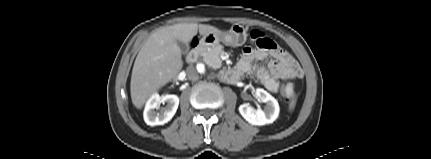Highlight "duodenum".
<instances>
[{"instance_id":"duodenum-1","label":"duodenum","mask_w":431,"mask_h":159,"mask_svg":"<svg viewBox=\"0 0 431 159\" xmlns=\"http://www.w3.org/2000/svg\"><path fill=\"white\" fill-rule=\"evenodd\" d=\"M207 40H195L192 42V47L190 52L187 55V62L193 63L197 60L201 50L207 44ZM239 75V72L236 69H230L226 72V76L235 78Z\"/></svg>"}]
</instances>
